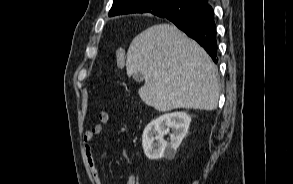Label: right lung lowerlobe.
<instances>
[{
  "label": "right lung lower lobe",
  "mask_w": 293,
  "mask_h": 184,
  "mask_svg": "<svg viewBox=\"0 0 293 184\" xmlns=\"http://www.w3.org/2000/svg\"><path fill=\"white\" fill-rule=\"evenodd\" d=\"M159 17L167 18L196 40L217 63L216 25L214 11L209 4L187 2Z\"/></svg>",
  "instance_id": "1"
}]
</instances>
